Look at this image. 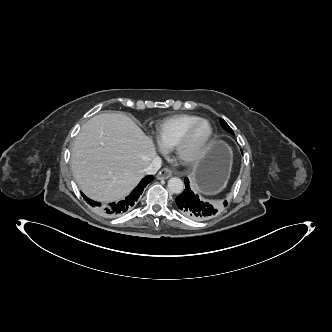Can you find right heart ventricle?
<instances>
[{"mask_svg":"<svg viewBox=\"0 0 332 332\" xmlns=\"http://www.w3.org/2000/svg\"><path fill=\"white\" fill-rule=\"evenodd\" d=\"M200 119L196 115H175L159 122L154 129L158 143L165 149H172L185 130Z\"/></svg>","mask_w":332,"mask_h":332,"instance_id":"1","label":"right heart ventricle"}]
</instances>
